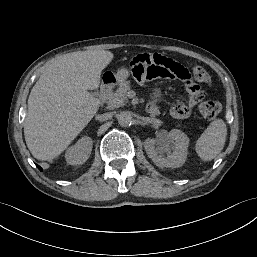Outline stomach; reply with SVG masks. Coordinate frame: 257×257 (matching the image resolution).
Wrapping results in <instances>:
<instances>
[{
	"mask_svg": "<svg viewBox=\"0 0 257 257\" xmlns=\"http://www.w3.org/2000/svg\"><path fill=\"white\" fill-rule=\"evenodd\" d=\"M129 76H130V73L128 69L126 68L118 69V71L113 76L112 82H116L120 84L124 82Z\"/></svg>",
	"mask_w": 257,
	"mask_h": 257,
	"instance_id": "obj_1",
	"label": "stomach"
}]
</instances>
